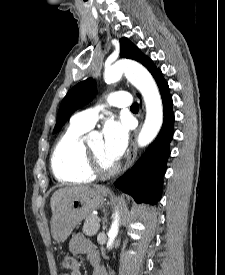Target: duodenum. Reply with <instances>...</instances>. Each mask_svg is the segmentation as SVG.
I'll return each instance as SVG.
<instances>
[{"mask_svg": "<svg viewBox=\"0 0 225 275\" xmlns=\"http://www.w3.org/2000/svg\"><path fill=\"white\" fill-rule=\"evenodd\" d=\"M98 264H99L98 262H94V263H93L94 266H97Z\"/></svg>", "mask_w": 225, "mask_h": 275, "instance_id": "obj_1", "label": "duodenum"}]
</instances>
